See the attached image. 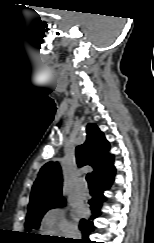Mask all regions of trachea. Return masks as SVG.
Listing matches in <instances>:
<instances>
[{"mask_svg":"<svg viewBox=\"0 0 154 243\" xmlns=\"http://www.w3.org/2000/svg\"><path fill=\"white\" fill-rule=\"evenodd\" d=\"M86 180L88 182V186L89 187H91V188L94 187L93 182H92V178H91V175L90 174H87Z\"/></svg>","mask_w":154,"mask_h":243,"instance_id":"trachea-1","label":"trachea"}]
</instances>
